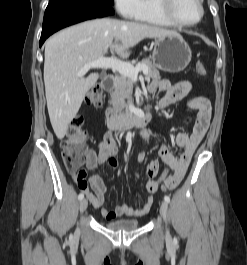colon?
I'll list each match as a JSON object with an SVG mask.
<instances>
[{"label":"colon","mask_w":247,"mask_h":265,"mask_svg":"<svg viewBox=\"0 0 247 265\" xmlns=\"http://www.w3.org/2000/svg\"><path fill=\"white\" fill-rule=\"evenodd\" d=\"M195 70L199 76H205L207 74L206 68L201 62L196 63ZM103 99L102 88L100 86H95L88 93L86 102L93 106H100ZM87 141L88 133L83 129V119L81 117L74 118L70 122L66 136L61 143L62 157L66 169L69 172L77 173V175L80 176L86 175L81 167L85 163L88 155ZM170 170L171 167L167 165L157 181L159 185L170 177Z\"/></svg>","instance_id":"obj_1"}]
</instances>
